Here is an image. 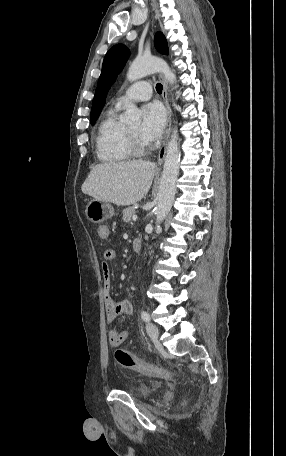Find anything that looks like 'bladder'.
Instances as JSON below:
<instances>
[{"mask_svg":"<svg viewBox=\"0 0 286 456\" xmlns=\"http://www.w3.org/2000/svg\"><path fill=\"white\" fill-rule=\"evenodd\" d=\"M157 390V386L153 383L139 384L131 392L139 397H147Z\"/></svg>","mask_w":286,"mask_h":456,"instance_id":"obj_1","label":"bladder"}]
</instances>
